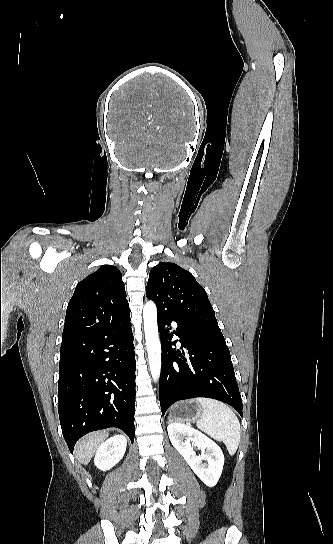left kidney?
I'll use <instances>...</instances> for the list:
<instances>
[{"mask_svg": "<svg viewBox=\"0 0 333 544\" xmlns=\"http://www.w3.org/2000/svg\"><path fill=\"white\" fill-rule=\"evenodd\" d=\"M167 431L172 445L194 473L208 487L215 486L224 465V455L217 443L200 431L181 423H170ZM193 446L201 450V455L195 454ZM202 460L207 463L203 464Z\"/></svg>", "mask_w": 333, "mask_h": 544, "instance_id": "1", "label": "left kidney"}]
</instances>
